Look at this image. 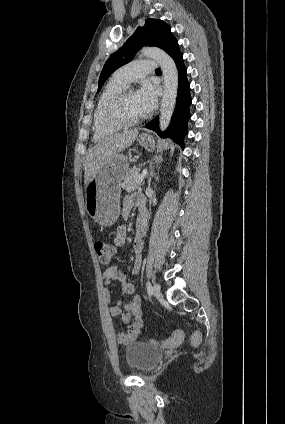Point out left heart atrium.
<instances>
[{"label":"left heart atrium","mask_w":285,"mask_h":424,"mask_svg":"<svg viewBox=\"0 0 285 424\" xmlns=\"http://www.w3.org/2000/svg\"><path fill=\"white\" fill-rule=\"evenodd\" d=\"M137 101L145 114L150 113L157 103V92L149 83L144 82L136 92Z\"/></svg>","instance_id":"1"}]
</instances>
